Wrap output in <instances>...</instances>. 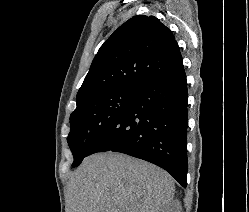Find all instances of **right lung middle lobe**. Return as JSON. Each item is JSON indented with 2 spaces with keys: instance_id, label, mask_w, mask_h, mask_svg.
<instances>
[{
  "instance_id": "dd1d6c3e",
  "label": "right lung middle lobe",
  "mask_w": 249,
  "mask_h": 212,
  "mask_svg": "<svg viewBox=\"0 0 249 212\" xmlns=\"http://www.w3.org/2000/svg\"><path fill=\"white\" fill-rule=\"evenodd\" d=\"M137 92L117 91L92 97L77 105L70 116L68 144L73 153L72 167L89 155L93 144L129 106Z\"/></svg>"
}]
</instances>
